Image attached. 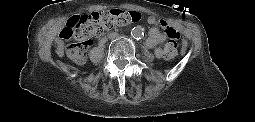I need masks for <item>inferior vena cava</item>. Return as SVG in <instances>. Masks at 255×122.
Wrapping results in <instances>:
<instances>
[{
    "mask_svg": "<svg viewBox=\"0 0 255 122\" xmlns=\"http://www.w3.org/2000/svg\"><path fill=\"white\" fill-rule=\"evenodd\" d=\"M108 37H109L110 39L117 38V37H118V33H116V32H111V33L108 34Z\"/></svg>",
    "mask_w": 255,
    "mask_h": 122,
    "instance_id": "obj_1",
    "label": "inferior vena cava"
}]
</instances>
